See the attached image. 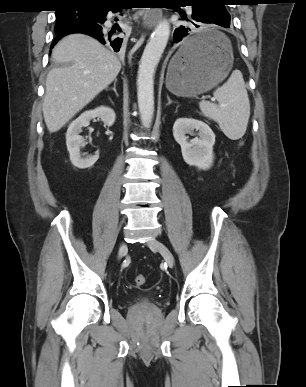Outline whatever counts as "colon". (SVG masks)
Listing matches in <instances>:
<instances>
[{
  "label": "colon",
  "instance_id": "colon-1",
  "mask_svg": "<svg viewBox=\"0 0 306 387\" xmlns=\"http://www.w3.org/2000/svg\"><path fill=\"white\" fill-rule=\"evenodd\" d=\"M146 278L142 274H138L134 277V283L137 287H141L145 284Z\"/></svg>",
  "mask_w": 306,
  "mask_h": 387
}]
</instances>
